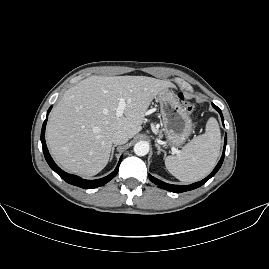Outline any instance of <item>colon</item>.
<instances>
[{
    "label": "colon",
    "mask_w": 269,
    "mask_h": 269,
    "mask_svg": "<svg viewBox=\"0 0 269 269\" xmlns=\"http://www.w3.org/2000/svg\"><path fill=\"white\" fill-rule=\"evenodd\" d=\"M186 110L192 112L195 109V104L193 102H188L185 104Z\"/></svg>",
    "instance_id": "obj_1"
}]
</instances>
